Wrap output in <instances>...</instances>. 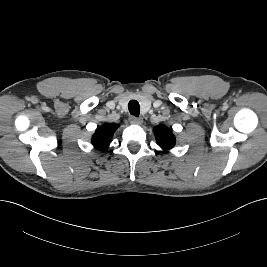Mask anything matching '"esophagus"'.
I'll return each instance as SVG.
<instances>
[{"mask_svg":"<svg viewBox=\"0 0 267 267\" xmlns=\"http://www.w3.org/2000/svg\"><path fill=\"white\" fill-rule=\"evenodd\" d=\"M129 121H130L131 124H136V125H141L143 123L142 118H138V117H135V116H131L129 118Z\"/></svg>","mask_w":267,"mask_h":267,"instance_id":"esophagus-1","label":"esophagus"}]
</instances>
